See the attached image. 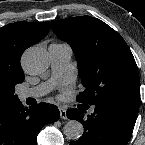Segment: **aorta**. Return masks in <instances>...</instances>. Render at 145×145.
Wrapping results in <instances>:
<instances>
[{
    "label": "aorta",
    "mask_w": 145,
    "mask_h": 145,
    "mask_svg": "<svg viewBox=\"0 0 145 145\" xmlns=\"http://www.w3.org/2000/svg\"><path fill=\"white\" fill-rule=\"evenodd\" d=\"M24 70L32 75H38L46 71L50 61L48 53L40 47L28 48L22 56ZM84 132L83 125L76 120H70L65 124L64 134L68 139L78 140Z\"/></svg>",
    "instance_id": "aorta-1"
}]
</instances>
